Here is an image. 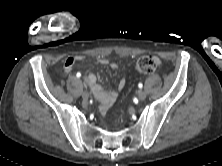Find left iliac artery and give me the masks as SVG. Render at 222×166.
<instances>
[{
    "mask_svg": "<svg viewBox=\"0 0 222 166\" xmlns=\"http://www.w3.org/2000/svg\"><path fill=\"white\" fill-rule=\"evenodd\" d=\"M138 87H139V88H142V87H143L142 83H139V84H138Z\"/></svg>",
    "mask_w": 222,
    "mask_h": 166,
    "instance_id": "1",
    "label": "left iliac artery"
}]
</instances>
